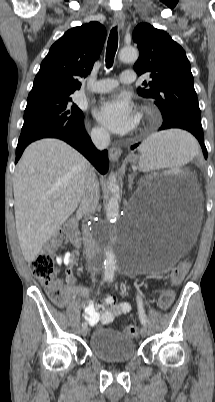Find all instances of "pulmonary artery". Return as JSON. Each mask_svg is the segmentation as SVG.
<instances>
[{"label": "pulmonary artery", "instance_id": "e3ab8cb5", "mask_svg": "<svg viewBox=\"0 0 215 402\" xmlns=\"http://www.w3.org/2000/svg\"><path fill=\"white\" fill-rule=\"evenodd\" d=\"M136 79L135 73L131 70L122 72L120 75V81L123 83H132ZM118 85V80L113 78H107L96 81L91 89L97 93H104L114 89Z\"/></svg>", "mask_w": 215, "mask_h": 402}]
</instances>
